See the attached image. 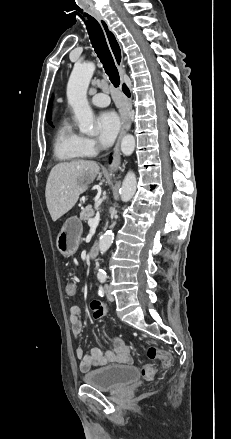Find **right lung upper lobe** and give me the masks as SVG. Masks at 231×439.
I'll return each instance as SVG.
<instances>
[{"instance_id": "obj_1", "label": "right lung upper lobe", "mask_w": 231, "mask_h": 439, "mask_svg": "<svg viewBox=\"0 0 231 439\" xmlns=\"http://www.w3.org/2000/svg\"><path fill=\"white\" fill-rule=\"evenodd\" d=\"M49 113H50V110L48 109V112H47V120H48V122L50 121Z\"/></svg>"}]
</instances>
